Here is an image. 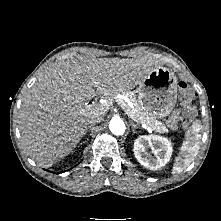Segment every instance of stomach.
<instances>
[{"label":"stomach","instance_id":"stomach-1","mask_svg":"<svg viewBox=\"0 0 221 221\" xmlns=\"http://www.w3.org/2000/svg\"><path fill=\"white\" fill-rule=\"evenodd\" d=\"M138 103L143 112L155 119L168 116L177 102V80L165 67L151 71L137 89Z\"/></svg>","mask_w":221,"mask_h":221}]
</instances>
